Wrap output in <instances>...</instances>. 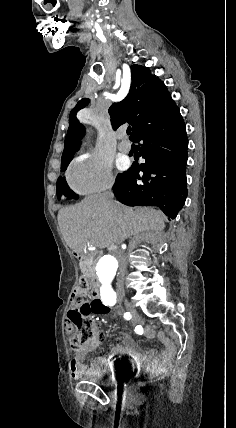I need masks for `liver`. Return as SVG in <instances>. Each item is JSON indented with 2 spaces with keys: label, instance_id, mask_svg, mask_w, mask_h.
<instances>
[{
  "label": "liver",
  "instance_id": "obj_1",
  "mask_svg": "<svg viewBox=\"0 0 236 428\" xmlns=\"http://www.w3.org/2000/svg\"><path fill=\"white\" fill-rule=\"evenodd\" d=\"M64 240L75 254H84L87 244L111 248L142 232L155 236L164 230L162 212L153 208H127L108 202L105 196H87L80 204L58 212Z\"/></svg>",
  "mask_w": 236,
  "mask_h": 428
}]
</instances>
